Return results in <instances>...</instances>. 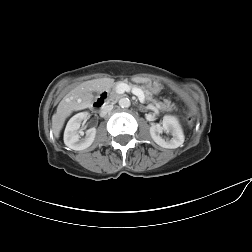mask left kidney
I'll list each match as a JSON object with an SVG mask.
<instances>
[{
    "mask_svg": "<svg viewBox=\"0 0 252 252\" xmlns=\"http://www.w3.org/2000/svg\"><path fill=\"white\" fill-rule=\"evenodd\" d=\"M163 132L170 133L172 138H163L161 136ZM150 135L155 143L163 148L175 149L184 142L183 131L178 120L170 115L164 116L162 125L153 124L150 127Z\"/></svg>",
    "mask_w": 252,
    "mask_h": 252,
    "instance_id": "1",
    "label": "left kidney"
}]
</instances>
